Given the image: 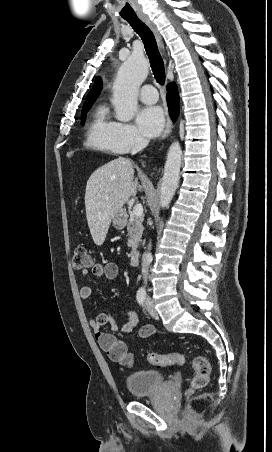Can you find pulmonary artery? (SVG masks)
Returning <instances> with one entry per match:
<instances>
[{
    "mask_svg": "<svg viewBox=\"0 0 272 452\" xmlns=\"http://www.w3.org/2000/svg\"><path fill=\"white\" fill-rule=\"evenodd\" d=\"M140 100L145 104H153L158 100V93L153 85L146 84L141 88Z\"/></svg>",
    "mask_w": 272,
    "mask_h": 452,
    "instance_id": "e3ab8cb5",
    "label": "pulmonary artery"
}]
</instances>
